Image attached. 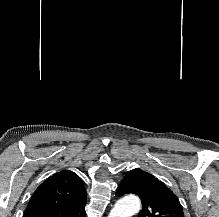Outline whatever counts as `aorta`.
Wrapping results in <instances>:
<instances>
[{"label":"aorta","instance_id":"1","mask_svg":"<svg viewBox=\"0 0 219 217\" xmlns=\"http://www.w3.org/2000/svg\"><path fill=\"white\" fill-rule=\"evenodd\" d=\"M140 207L141 203L138 197L128 196L114 205L108 217H131L140 210Z\"/></svg>","mask_w":219,"mask_h":217}]
</instances>
